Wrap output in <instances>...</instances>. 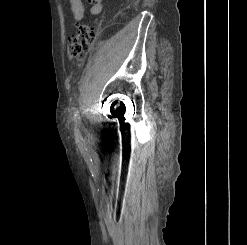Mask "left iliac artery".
Instances as JSON below:
<instances>
[{
  "label": "left iliac artery",
  "mask_w": 247,
  "mask_h": 245,
  "mask_svg": "<svg viewBox=\"0 0 247 245\" xmlns=\"http://www.w3.org/2000/svg\"><path fill=\"white\" fill-rule=\"evenodd\" d=\"M74 120H75L76 124H80V115H79V112L77 110L74 112Z\"/></svg>",
  "instance_id": "1"
}]
</instances>
